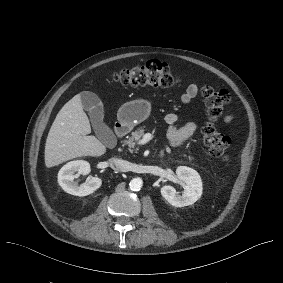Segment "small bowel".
<instances>
[{
    "label": "small bowel",
    "instance_id": "c3829d8e",
    "mask_svg": "<svg viewBox=\"0 0 283 283\" xmlns=\"http://www.w3.org/2000/svg\"><path fill=\"white\" fill-rule=\"evenodd\" d=\"M199 85L196 83H190L184 93L180 97L182 104H188L198 93ZM232 119V115H227L225 121L229 122ZM167 124V137L170 142V146L178 147L188 141L197 130L196 123L190 122L181 127L177 126L178 115L175 113H168L164 118Z\"/></svg>",
    "mask_w": 283,
    "mask_h": 283
}]
</instances>
